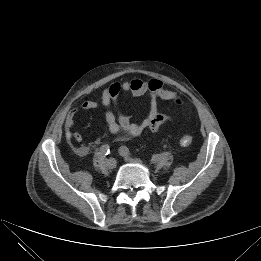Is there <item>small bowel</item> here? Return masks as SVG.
Masks as SVG:
<instances>
[{"mask_svg": "<svg viewBox=\"0 0 261 261\" xmlns=\"http://www.w3.org/2000/svg\"><path fill=\"white\" fill-rule=\"evenodd\" d=\"M122 93L134 96H149V112L144 120L133 122L119 110L117 101ZM176 96V92L165 88L159 79L143 80L133 78L126 81L113 82L103 90L100 102L86 100L81 104L80 109L89 111L103 107L105 109V122L108 131L112 135L119 138L139 137L145 131L156 132L169 119L168 115L159 110L158 101H170L175 99ZM77 111L78 109H72L68 112L65 118V133L68 139L80 143L82 136L74 130V116ZM74 149L80 156H84L89 152V147L86 145H77Z\"/></svg>", "mask_w": 261, "mask_h": 261, "instance_id": "c3829d8e", "label": "small bowel"}]
</instances>
